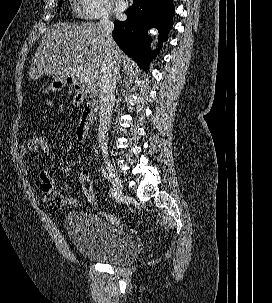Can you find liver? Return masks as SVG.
I'll return each mask as SVG.
<instances>
[{
	"label": "liver",
	"instance_id": "obj_1",
	"mask_svg": "<svg viewBox=\"0 0 272 303\" xmlns=\"http://www.w3.org/2000/svg\"><path fill=\"white\" fill-rule=\"evenodd\" d=\"M104 50L105 37L99 23L53 24L34 54L29 77L37 80L44 75H52L54 81H66L68 77L82 73L88 77L86 94L93 98L99 91ZM113 53L118 68L129 63L116 44Z\"/></svg>",
	"mask_w": 272,
	"mask_h": 303
}]
</instances>
